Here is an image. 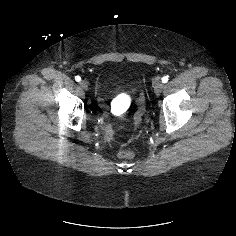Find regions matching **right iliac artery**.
Returning <instances> with one entry per match:
<instances>
[{
    "instance_id": "1",
    "label": "right iliac artery",
    "mask_w": 236,
    "mask_h": 236,
    "mask_svg": "<svg viewBox=\"0 0 236 236\" xmlns=\"http://www.w3.org/2000/svg\"><path fill=\"white\" fill-rule=\"evenodd\" d=\"M75 80H76L77 82H79V81L81 80V77H80V76H75Z\"/></svg>"
}]
</instances>
